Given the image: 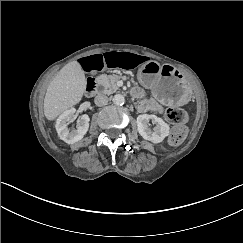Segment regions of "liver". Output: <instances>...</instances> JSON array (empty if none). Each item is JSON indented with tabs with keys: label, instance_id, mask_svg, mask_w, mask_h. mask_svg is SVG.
I'll return each instance as SVG.
<instances>
[{
	"label": "liver",
	"instance_id": "1",
	"mask_svg": "<svg viewBox=\"0 0 243 243\" xmlns=\"http://www.w3.org/2000/svg\"><path fill=\"white\" fill-rule=\"evenodd\" d=\"M87 87L84 69L78 61L64 65L49 83L43 103L44 116L54 121L81 102Z\"/></svg>",
	"mask_w": 243,
	"mask_h": 243
}]
</instances>
